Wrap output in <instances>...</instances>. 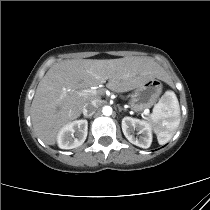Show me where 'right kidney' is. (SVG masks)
<instances>
[{"label": "right kidney", "mask_w": 210, "mask_h": 210, "mask_svg": "<svg viewBox=\"0 0 210 210\" xmlns=\"http://www.w3.org/2000/svg\"><path fill=\"white\" fill-rule=\"evenodd\" d=\"M88 132L87 120H76L65 125L57 136L61 149H73L84 143Z\"/></svg>", "instance_id": "obj_1"}]
</instances>
